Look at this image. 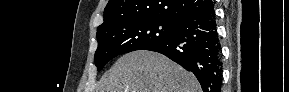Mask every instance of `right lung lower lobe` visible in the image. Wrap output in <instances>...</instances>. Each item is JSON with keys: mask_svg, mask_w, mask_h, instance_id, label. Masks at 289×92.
Returning <instances> with one entry per match:
<instances>
[{"mask_svg": "<svg viewBox=\"0 0 289 92\" xmlns=\"http://www.w3.org/2000/svg\"><path fill=\"white\" fill-rule=\"evenodd\" d=\"M142 50L164 54L193 72L203 92H220L222 60L214 7L180 20L170 38Z\"/></svg>", "mask_w": 289, "mask_h": 92, "instance_id": "obj_1", "label": "right lung lower lobe"}]
</instances>
